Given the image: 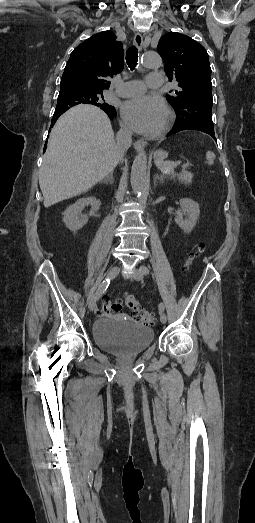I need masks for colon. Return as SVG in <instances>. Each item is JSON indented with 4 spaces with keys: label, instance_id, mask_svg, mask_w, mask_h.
<instances>
[{
    "label": "colon",
    "instance_id": "colon-1",
    "mask_svg": "<svg viewBox=\"0 0 255 523\" xmlns=\"http://www.w3.org/2000/svg\"><path fill=\"white\" fill-rule=\"evenodd\" d=\"M203 250L204 247H199L197 252L190 254L185 261L184 267L189 268L193 264L195 258L203 252ZM125 304L132 312L133 316L141 323L149 325L154 322V315L149 311L143 310L139 301L135 297L131 295L126 296ZM120 309L121 304L119 302L106 298L103 301L101 313L105 315L115 314L118 313Z\"/></svg>",
    "mask_w": 255,
    "mask_h": 523
}]
</instances>
